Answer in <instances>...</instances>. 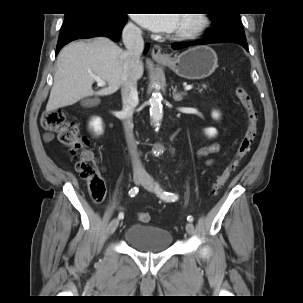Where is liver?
<instances>
[{
	"instance_id": "1",
	"label": "liver",
	"mask_w": 303,
	"mask_h": 303,
	"mask_svg": "<svg viewBox=\"0 0 303 303\" xmlns=\"http://www.w3.org/2000/svg\"><path fill=\"white\" fill-rule=\"evenodd\" d=\"M123 54L119 46L105 37H97L89 42H72L65 46L57 58V71L46 111L73 105L88 96L115 93L121 86ZM143 71L140 62L137 79L142 77ZM92 75L106 81L108 86L94 91Z\"/></svg>"
}]
</instances>
